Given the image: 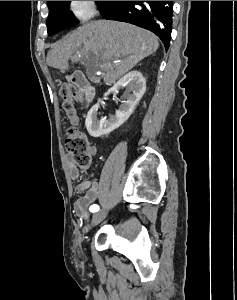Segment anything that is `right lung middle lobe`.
Segmentation results:
<instances>
[{"label": "right lung middle lobe", "mask_w": 237, "mask_h": 300, "mask_svg": "<svg viewBox=\"0 0 237 300\" xmlns=\"http://www.w3.org/2000/svg\"><path fill=\"white\" fill-rule=\"evenodd\" d=\"M103 3L104 1H98L99 6ZM47 4L49 8V16L46 21L48 35L56 34L78 24V20L69 11L70 1H47Z\"/></svg>", "instance_id": "dd1d6c3e"}]
</instances>
